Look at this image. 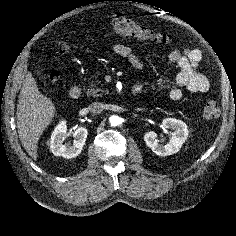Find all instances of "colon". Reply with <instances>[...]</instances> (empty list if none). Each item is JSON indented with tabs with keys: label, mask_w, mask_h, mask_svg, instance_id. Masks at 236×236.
Instances as JSON below:
<instances>
[{
	"label": "colon",
	"mask_w": 236,
	"mask_h": 236,
	"mask_svg": "<svg viewBox=\"0 0 236 236\" xmlns=\"http://www.w3.org/2000/svg\"><path fill=\"white\" fill-rule=\"evenodd\" d=\"M109 24L114 32L139 41H155L158 43L169 41L166 35L155 33L124 14H112L109 17ZM56 50L61 55H67L71 52V46L67 42L60 41L56 45ZM58 78L59 73L57 70H53L48 74V80L51 82L56 81ZM219 113L220 109L214 101L206 102L202 110V116L207 120L217 118Z\"/></svg>",
	"instance_id": "colon-1"
}]
</instances>
